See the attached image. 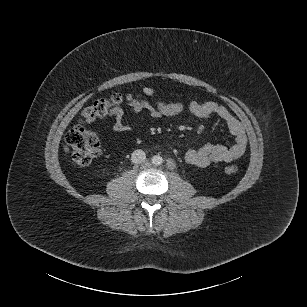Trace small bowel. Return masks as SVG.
I'll list each match as a JSON object with an SVG mask.
<instances>
[{"mask_svg": "<svg viewBox=\"0 0 307 307\" xmlns=\"http://www.w3.org/2000/svg\"><path fill=\"white\" fill-rule=\"evenodd\" d=\"M142 93L148 97H155V91L151 87H144ZM130 106L132 115L137 116L143 111H147V118L150 120L177 116L184 110V105L178 101L166 103L157 100L152 105L142 101L139 96H136L130 102ZM188 110L193 116L200 119L219 118L224 122L234 137V142L230 147L223 145H205L200 149L188 150L185 154V160L188 164L197 167H206L211 163L234 161L245 153L247 136L244 127L227 108L213 101L193 100L189 103ZM107 115L112 119V129L115 132L126 133L134 129L133 124L125 118L122 108H115Z\"/></svg>", "mask_w": 307, "mask_h": 307, "instance_id": "c3829d8e", "label": "small bowel"}]
</instances>
